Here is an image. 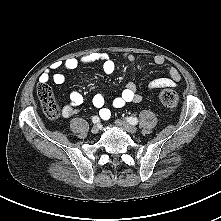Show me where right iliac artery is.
Instances as JSON below:
<instances>
[{
    "instance_id": "obj_1",
    "label": "right iliac artery",
    "mask_w": 221,
    "mask_h": 221,
    "mask_svg": "<svg viewBox=\"0 0 221 221\" xmlns=\"http://www.w3.org/2000/svg\"><path fill=\"white\" fill-rule=\"evenodd\" d=\"M92 121H93V123L97 124V123L100 122V119H99L98 116H94V117L92 118Z\"/></svg>"
}]
</instances>
